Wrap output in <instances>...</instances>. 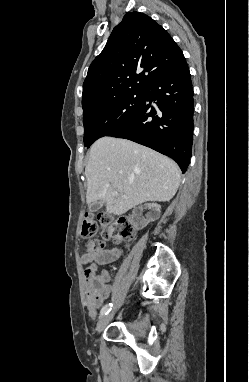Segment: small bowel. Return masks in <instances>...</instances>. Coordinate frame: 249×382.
<instances>
[{"mask_svg": "<svg viewBox=\"0 0 249 382\" xmlns=\"http://www.w3.org/2000/svg\"><path fill=\"white\" fill-rule=\"evenodd\" d=\"M119 257L117 249H105L97 253H85L81 257L83 264L88 265L85 270L86 308L91 318L96 316L97 310L108 298L111 286L108 285L110 275L103 269L97 274L98 266H103L115 261ZM104 287V291L101 290Z\"/></svg>", "mask_w": 249, "mask_h": 382, "instance_id": "c3829d8e", "label": "small bowel"}]
</instances>
